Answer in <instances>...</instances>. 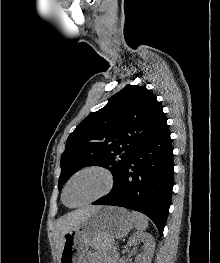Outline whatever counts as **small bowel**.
<instances>
[{
  "instance_id": "obj_1",
  "label": "small bowel",
  "mask_w": 220,
  "mask_h": 263,
  "mask_svg": "<svg viewBox=\"0 0 220 263\" xmlns=\"http://www.w3.org/2000/svg\"><path fill=\"white\" fill-rule=\"evenodd\" d=\"M84 263H101L94 254H88Z\"/></svg>"
}]
</instances>
